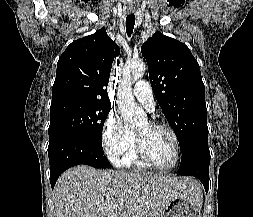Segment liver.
I'll return each mask as SVG.
<instances>
[{"label":"liver","instance_id":"6515ba94","mask_svg":"<svg viewBox=\"0 0 253 217\" xmlns=\"http://www.w3.org/2000/svg\"><path fill=\"white\" fill-rule=\"evenodd\" d=\"M177 196L202 202L201 184L189 177L147 176L78 165L53 190L56 217H157Z\"/></svg>","mask_w":253,"mask_h":217}]
</instances>
